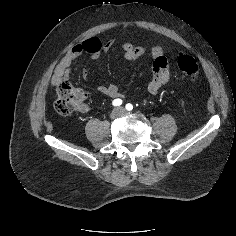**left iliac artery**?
<instances>
[{"label":"left iliac artery","mask_w":236,"mask_h":236,"mask_svg":"<svg viewBox=\"0 0 236 236\" xmlns=\"http://www.w3.org/2000/svg\"><path fill=\"white\" fill-rule=\"evenodd\" d=\"M125 108L128 110V111H131L133 109V105L128 103L126 104Z\"/></svg>","instance_id":"1"}]
</instances>
